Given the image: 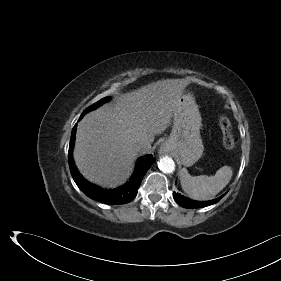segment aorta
Returning <instances> with one entry per match:
<instances>
[{"instance_id": "aorta-1", "label": "aorta", "mask_w": 281, "mask_h": 281, "mask_svg": "<svg viewBox=\"0 0 281 281\" xmlns=\"http://www.w3.org/2000/svg\"><path fill=\"white\" fill-rule=\"evenodd\" d=\"M158 167L164 173L170 174L175 170V163L172 158L165 156L158 162Z\"/></svg>"}]
</instances>
